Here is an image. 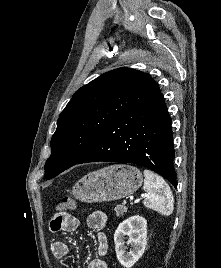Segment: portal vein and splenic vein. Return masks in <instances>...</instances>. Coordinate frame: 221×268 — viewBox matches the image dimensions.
<instances>
[{
	"label": "portal vein and splenic vein",
	"instance_id": "18ae733b",
	"mask_svg": "<svg viewBox=\"0 0 221 268\" xmlns=\"http://www.w3.org/2000/svg\"><path fill=\"white\" fill-rule=\"evenodd\" d=\"M144 197V195H142ZM141 199H136L135 201L131 200V204L133 205L134 203H138Z\"/></svg>",
	"mask_w": 221,
	"mask_h": 268
}]
</instances>
